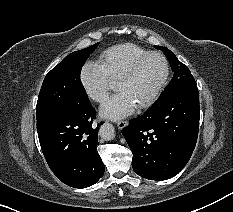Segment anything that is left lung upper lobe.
Segmentation results:
<instances>
[{"label":"left lung upper lobe","mask_w":233,"mask_h":212,"mask_svg":"<svg viewBox=\"0 0 233 212\" xmlns=\"http://www.w3.org/2000/svg\"><path fill=\"white\" fill-rule=\"evenodd\" d=\"M155 47L165 53L174 72L172 80L167 85L165 90L161 93L159 98H166L178 91L198 90L196 82L193 76L190 74V70L188 69V67L181 63L176 58L174 53L168 48L162 46Z\"/></svg>","instance_id":"5c2ea615"}]
</instances>
